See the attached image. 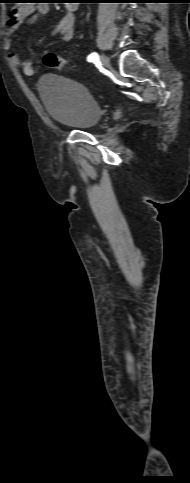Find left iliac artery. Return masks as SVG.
Segmentation results:
<instances>
[{
  "mask_svg": "<svg viewBox=\"0 0 190 483\" xmlns=\"http://www.w3.org/2000/svg\"><path fill=\"white\" fill-rule=\"evenodd\" d=\"M98 58H99L98 54L96 52H93L88 56L87 60L89 62H93L95 60H98Z\"/></svg>",
  "mask_w": 190,
  "mask_h": 483,
  "instance_id": "44dca946",
  "label": "left iliac artery"
}]
</instances>
